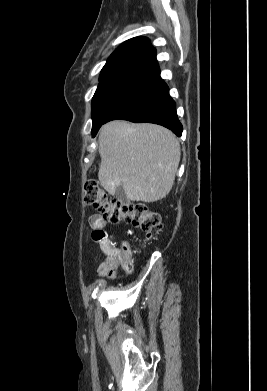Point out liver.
<instances>
[{
  "label": "liver",
  "mask_w": 267,
  "mask_h": 391,
  "mask_svg": "<svg viewBox=\"0 0 267 391\" xmlns=\"http://www.w3.org/2000/svg\"><path fill=\"white\" fill-rule=\"evenodd\" d=\"M98 142V178L109 194L115 195L120 185L131 201L151 203L169 194L181 155L170 130L116 120L101 127Z\"/></svg>",
  "instance_id": "liver-1"
}]
</instances>
